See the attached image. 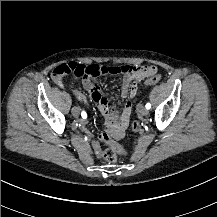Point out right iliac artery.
Here are the masks:
<instances>
[{
  "label": "right iliac artery",
  "mask_w": 217,
  "mask_h": 217,
  "mask_svg": "<svg viewBox=\"0 0 217 217\" xmlns=\"http://www.w3.org/2000/svg\"><path fill=\"white\" fill-rule=\"evenodd\" d=\"M81 116L85 119V118L87 117L86 112L83 111V112L81 113Z\"/></svg>",
  "instance_id": "82829eb1"
}]
</instances>
